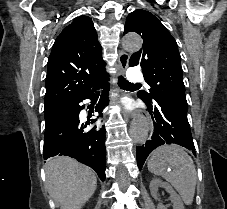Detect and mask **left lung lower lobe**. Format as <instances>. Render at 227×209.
I'll return each instance as SVG.
<instances>
[{"mask_svg": "<svg viewBox=\"0 0 227 209\" xmlns=\"http://www.w3.org/2000/svg\"><path fill=\"white\" fill-rule=\"evenodd\" d=\"M147 111L154 123V133L151 140L136 148L140 170L148 155L164 144H177L196 154L187 112H182L167 102L148 104Z\"/></svg>", "mask_w": 227, "mask_h": 209, "instance_id": "obj_1", "label": "left lung lower lobe"}]
</instances>
